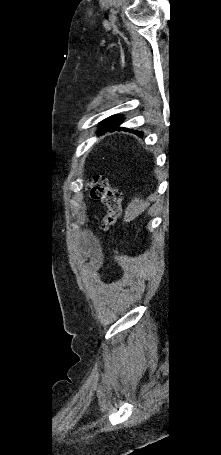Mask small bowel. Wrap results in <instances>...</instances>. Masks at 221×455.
<instances>
[{
    "label": "small bowel",
    "instance_id": "1",
    "mask_svg": "<svg viewBox=\"0 0 221 455\" xmlns=\"http://www.w3.org/2000/svg\"><path fill=\"white\" fill-rule=\"evenodd\" d=\"M78 253L82 258L89 257L88 266L90 269H97L100 266L102 258L96 247L90 246L84 241H79Z\"/></svg>",
    "mask_w": 221,
    "mask_h": 455
}]
</instances>
